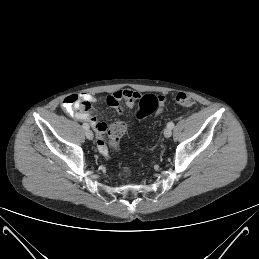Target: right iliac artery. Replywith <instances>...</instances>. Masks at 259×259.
Returning <instances> with one entry per match:
<instances>
[{"instance_id": "1", "label": "right iliac artery", "mask_w": 259, "mask_h": 259, "mask_svg": "<svg viewBox=\"0 0 259 259\" xmlns=\"http://www.w3.org/2000/svg\"><path fill=\"white\" fill-rule=\"evenodd\" d=\"M83 128L85 129V130H87V129H89V125L87 124V123H83Z\"/></svg>"}]
</instances>
